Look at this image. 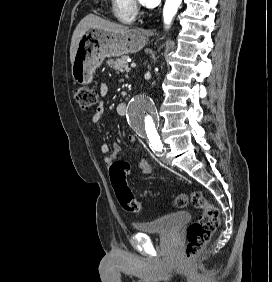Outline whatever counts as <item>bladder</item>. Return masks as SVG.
Listing matches in <instances>:
<instances>
[{
    "label": "bladder",
    "instance_id": "31cf9c89",
    "mask_svg": "<svg viewBox=\"0 0 272 282\" xmlns=\"http://www.w3.org/2000/svg\"><path fill=\"white\" fill-rule=\"evenodd\" d=\"M191 218L187 211H179L151 221L135 222L134 228L143 233L172 234Z\"/></svg>",
    "mask_w": 272,
    "mask_h": 282
}]
</instances>
